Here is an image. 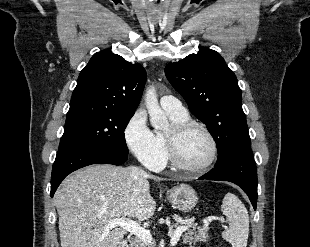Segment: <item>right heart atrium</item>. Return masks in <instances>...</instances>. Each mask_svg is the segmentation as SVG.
<instances>
[{
  "mask_svg": "<svg viewBox=\"0 0 310 247\" xmlns=\"http://www.w3.org/2000/svg\"><path fill=\"white\" fill-rule=\"evenodd\" d=\"M124 141L131 153L146 167L160 170L165 165L162 148L155 133L147 124L146 114L138 110L126 124L123 131Z\"/></svg>",
  "mask_w": 310,
  "mask_h": 247,
  "instance_id": "1",
  "label": "right heart atrium"
}]
</instances>
